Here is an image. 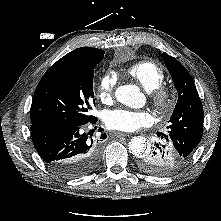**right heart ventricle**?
I'll list each match as a JSON object with an SVG mask.
<instances>
[{
    "label": "right heart ventricle",
    "mask_w": 221,
    "mask_h": 221,
    "mask_svg": "<svg viewBox=\"0 0 221 221\" xmlns=\"http://www.w3.org/2000/svg\"><path fill=\"white\" fill-rule=\"evenodd\" d=\"M127 72L147 91H153L164 81L163 69L151 61H139L128 67Z\"/></svg>",
    "instance_id": "right-heart-ventricle-1"
}]
</instances>
